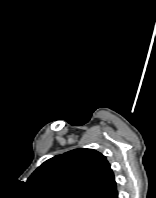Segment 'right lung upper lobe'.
<instances>
[{
	"label": "right lung upper lobe",
	"instance_id": "obj_1",
	"mask_svg": "<svg viewBox=\"0 0 156 198\" xmlns=\"http://www.w3.org/2000/svg\"><path fill=\"white\" fill-rule=\"evenodd\" d=\"M27 182L46 198L118 197L106 157L93 149H76L51 158Z\"/></svg>",
	"mask_w": 156,
	"mask_h": 198
}]
</instances>
